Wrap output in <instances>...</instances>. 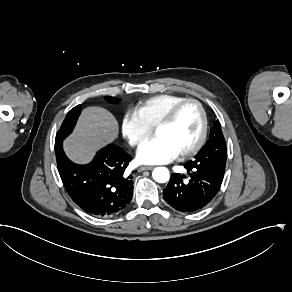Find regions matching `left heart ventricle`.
<instances>
[{
    "label": "left heart ventricle",
    "mask_w": 292,
    "mask_h": 292,
    "mask_svg": "<svg viewBox=\"0 0 292 292\" xmlns=\"http://www.w3.org/2000/svg\"><path fill=\"white\" fill-rule=\"evenodd\" d=\"M154 131L173 141L182 151L197 140L200 131L199 111L194 104H185L170 123L159 126Z\"/></svg>",
    "instance_id": "b2bd125f"
}]
</instances>
